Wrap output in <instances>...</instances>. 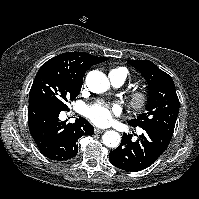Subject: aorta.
Masks as SVG:
<instances>
[{"instance_id": "aorta-1", "label": "aorta", "mask_w": 199, "mask_h": 199, "mask_svg": "<svg viewBox=\"0 0 199 199\" xmlns=\"http://www.w3.org/2000/svg\"><path fill=\"white\" fill-rule=\"evenodd\" d=\"M86 85L93 93H103L109 89V80L104 73L98 70L90 71L86 77ZM103 143L110 148L118 147L121 141L116 131H106L102 136Z\"/></svg>"}]
</instances>
